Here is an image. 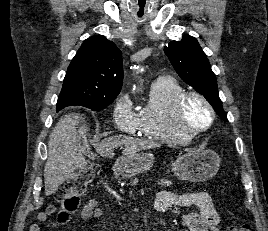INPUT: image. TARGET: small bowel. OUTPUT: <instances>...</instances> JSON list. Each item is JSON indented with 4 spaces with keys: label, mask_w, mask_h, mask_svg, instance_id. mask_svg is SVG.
Instances as JSON below:
<instances>
[{
    "label": "small bowel",
    "mask_w": 268,
    "mask_h": 231,
    "mask_svg": "<svg viewBox=\"0 0 268 231\" xmlns=\"http://www.w3.org/2000/svg\"><path fill=\"white\" fill-rule=\"evenodd\" d=\"M197 207L198 212L187 213L182 216V223L189 231H219L217 224L219 221L218 212L214 206L211 196L204 191L177 194L170 191L158 193L154 207L159 212H164L170 208ZM46 212L38 214L39 221H45ZM104 210L99 206L96 198H91L82 209V218L85 221L99 218ZM29 231H40L37 224H32Z\"/></svg>",
    "instance_id": "1"
}]
</instances>
